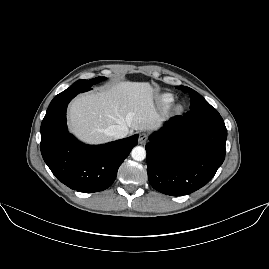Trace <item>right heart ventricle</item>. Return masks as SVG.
Wrapping results in <instances>:
<instances>
[{
  "label": "right heart ventricle",
  "mask_w": 269,
  "mask_h": 269,
  "mask_svg": "<svg viewBox=\"0 0 269 269\" xmlns=\"http://www.w3.org/2000/svg\"><path fill=\"white\" fill-rule=\"evenodd\" d=\"M160 100H161V103L164 105V106H169L172 104V102L174 101V97L173 95L171 94H163L161 97H160Z\"/></svg>",
  "instance_id": "e07e8e85"
}]
</instances>
